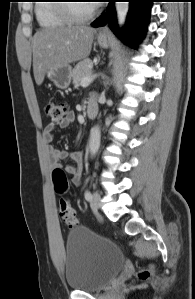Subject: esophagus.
<instances>
[{"label":"esophagus","mask_w":195,"mask_h":299,"mask_svg":"<svg viewBox=\"0 0 195 299\" xmlns=\"http://www.w3.org/2000/svg\"><path fill=\"white\" fill-rule=\"evenodd\" d=\"M107 35H108V29H107V27L102 28L100 30V32H99V36L100 37H106Z\"/></svg>","instance_id":"1"}]
</instances>
